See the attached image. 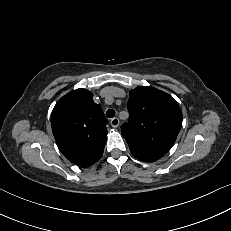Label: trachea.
<instances>
[{"instance_id":"3493384b","label":"trachea","mask_w":231,"mask_h":231,"mask_svg":"<svg viewBox=\"0 0 231 231\" xmlns=\"http://www.w3.org/2000/svg\"><path fill=\"white\" fill-rule=\"evenodd\" d=\"M107 118H113L115 116V111L113 109H108L106 111Z\"/></svg>"}]
</instances>
